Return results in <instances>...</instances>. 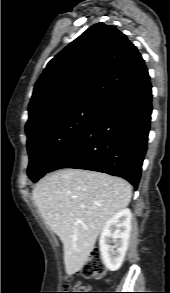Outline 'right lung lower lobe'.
Returning a JSON list of instances; mask_svg holds the SVG:
<instances>
[{"instance_id":"98d812e1","label":"right lung lower lobe","mask_w":170,"mask_h":293,"mask_svg":"<svg viewBox=\"0 0 170 293\" xmlns=\"http://www.w3.org/2000/svg\"><path fill=\"white\" fill-rule=\"evenodd\" d=\"M147 74L105 100L86 131L50 166L86 169L119 176L138 186L147 150L152 113Z\"/></svg>"}]
</instances>
